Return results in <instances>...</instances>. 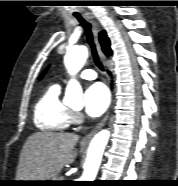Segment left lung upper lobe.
I'll list each match as a JSON object with an SVG mask.
<instances>
[{
  "instance_id": "left-lung-upper-lobe-1",
  "label": "left lung upper lobe",
  "mask_w": 178,
  "mask_h": 186,
  "mask_svg": "<svg viewBox=\"0 0 178 186\" xmlns=\"http://www.w3.org/2000/svg\"><path fill=\"white\" fill-rule=\"evenodd\" d=\"M45 73V72H44ZM44 73L40 76V78L44 75Z\"/></svg>"
}]
</instances>
